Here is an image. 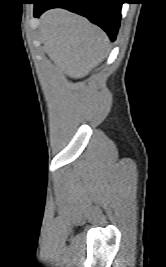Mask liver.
Segmentation results:
<instances>
[{"label": "liver", "instance_id": "liver-1", "mask_svg": "<svg viewBox=\"0 0 166 267\" xmlns=\"http://www.w3.org/2000/svg\"><path fill=\"white\" fill-rule=\"evenodd\" d=\"M40 30L45 53L71 78L86 76L108 55L106 33L86 18L66 10L46 12L41 17Z\"/></svg>", "mask_w": 166, "mask_h": 267}]
</instances>
